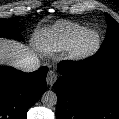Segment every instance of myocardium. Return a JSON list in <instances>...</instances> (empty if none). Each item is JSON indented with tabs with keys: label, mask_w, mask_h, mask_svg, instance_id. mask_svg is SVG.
Here are the masks:
<instances>
[{
	"label": "myocardium",
	"mask_w": 119,
	"mask_h": 119,
	"mask_svg": "<svg viewBox=\"0 0 119 119\" xmlns=\"http://www.w3.org/2000/svg\"><path fill=\"white\" fill-rule=\"evenodd\" d=\"M93 39L91 44H88L89 39ZM101 37L96 30L85 31L69 49L68 56L71 60L81 61L94 55L100 48Z\"/></svg>",
	"instance_id": "f54148a6"
}]
</instances>
